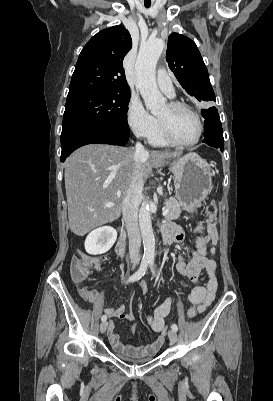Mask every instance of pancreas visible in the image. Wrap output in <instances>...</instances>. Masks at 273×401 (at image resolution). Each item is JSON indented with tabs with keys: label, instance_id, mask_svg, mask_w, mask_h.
Returning <instances> with one entry per match:
<instances>
[{
	"label": "pancreas",
	"instance_id": "1",
	"mask_svg": "<svg viewBox=\"0 0 273 401\" xmlns=\"http://www.w3.org/2000/svg\"><path fill=\"white\" fill-rule=\"evenodd\" d=\"M164 205L171 206V209H168V213L167 215H165L166 221H173V219H179L182 211L180 203L176 201V198H168V201H165Z\"/></svg>",
	"mask_w": 273,
	"mask_h": 401
}]
</instances>
